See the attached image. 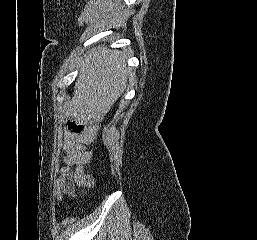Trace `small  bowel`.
I'll use <instances>...</instances> for the list:
<instances>
[{"label":"small bowel","instance_id":"obj_1","mask_svg":"<svg viewBox=\"0 0 257 240\" xmlns=\"http://www.w3.org/2000/svg\"><path fill=\"white\" fill-rule=\"evenodd\" d=\"M94 140V131L87 129L83 133L77 134L68 132L65 136L63 150L64 163L58 176V187L63 193L73 191L75 184L82 183L85 179L83 164L92 159L94 152L88 151L86 146ZM71 166H75L74 169Z\"/></svg>","mask_w":257,"mask_h":240}]
</instances>
